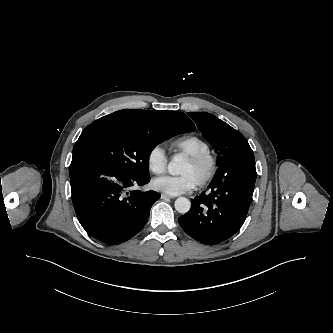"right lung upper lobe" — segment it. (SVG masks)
<instances>
[{
	"instance_id": "1",
	"label": "right lung upper lobe",
	"mask_w": 333,
	"mask_h": 333,
	"mask_svg": "<svg viewBox=\"0 0 333 333\" xmlns=\"http://www.w3.org/2000/svg\"><path fill=\"white\" fill-rule=\"evenodd\" d=\"M93 123H120L146 131L175 130L191 132L194 123L186 114L178 111H148L125 109L106 115Z\"/></svg>"
}]
</instances>
